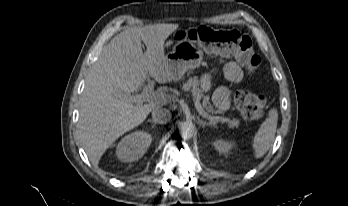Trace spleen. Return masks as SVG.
<instances>
[{
	"mask_svg": "<svg viewBox=\"0 0 348 206\" xmlns=\"http://www.w3.org/2000/svg\"><path fill=\"white\" fill-rule=\"evenodd\" d=\"M278 112L275 108L271 109L268 117L260 125L253 140L255 158H260L267 153L271 147L277 128Z\"/></svg>",
	"mask_w": 348,
	"mask_h": 206,
	"instance_id": "3e777b00",
	"label": "spleen"
}]
</instances>
